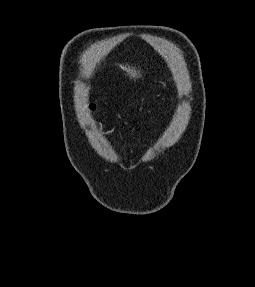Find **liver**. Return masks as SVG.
<instances>
[{
    "mask_svg": "<svg viewBox=\"0 0 255 287\" xmlns=\"http://www.w3.org/2000/svg\"><path fill=\"white\" fill-rule=\"evenodd\" d=\"M121 70H125V72H128V76H132V78H137V72L136 70H132V68H124V66H120Z\"/></svg>",
    "mask_w": 255,
    "mask_h": 287,
    "instance_id": "1",
    "label": "liver"
}]
</instances>
